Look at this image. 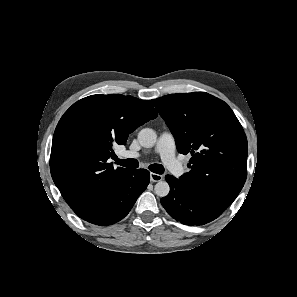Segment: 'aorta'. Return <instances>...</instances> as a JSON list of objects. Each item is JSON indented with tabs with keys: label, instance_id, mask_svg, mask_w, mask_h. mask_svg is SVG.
Wrapping results in <instances>:
<instances>
[{
	"label": "aorta",
	"instance_id": "762f6f07",
	"mask_svg": "<svg viewBox=\"0 0 297 297\" xmlns=\"http://www.w3.org/2000/svg\"><path fill=\"white\" fill-rule=\"evenodd\" d=\"M138 141L144 148H151L157 141V134L153 129L144 128L138 133ZM170 186L166 181H158L154 192L159 197H165L169 194Z\"/></svg>",
	"mask_w": 297,
	"mask_h": 297
}]
</instances>
